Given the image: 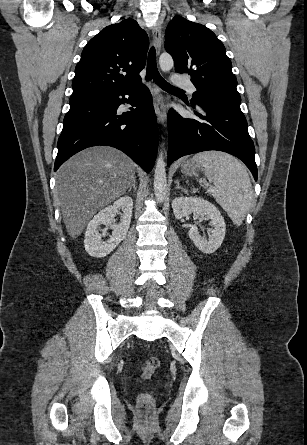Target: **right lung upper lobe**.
Listing matches in <instances>:
<instances>
[{
	"instance_id": "1",
	"label": "right lung upper lobe",
	"mask_w": 307,
	"mask_h": 445,
	"mask_svg": "<svg viewBox=\"0 0 307 445\" xmlns=\"http://www.w3.org/2000/svg\"><path fill=\"white\" fill-rule=\"evenodd\" d=\"M149 39L138 23L125 19L92 38L75 68L70 100L134 86L141 82ZM126 72V75L120 72Z\"/></svg>"
}]
</instances>
